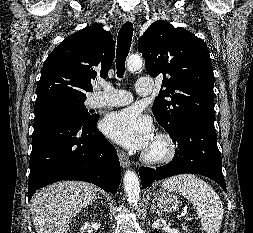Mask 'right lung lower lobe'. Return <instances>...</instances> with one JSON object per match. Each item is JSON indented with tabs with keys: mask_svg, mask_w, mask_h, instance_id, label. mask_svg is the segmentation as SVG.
Segmentation results:
<instances>
[{
	"mask_svg": "<svg viewBox=\"0 0 253 233\" xmlns=\"http://www.w3.org/2000/svg\"><path fill=\"white\" fill-rule=\"evenodd\" d=\"M99 116L77 122L63 116L34 121L28 199L59 180L91 182L116 194L120 162L113 145L97 129Z\"/></svg>",
	"mask_w": 253,
	"mask_h": 233,
	"instance_id": "98d812e1",
	"label": "right lung lower lobe"
}]
</instances>
